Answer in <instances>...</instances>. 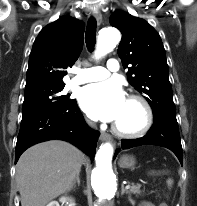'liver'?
Instances as JSON below:
<instances>
[{
	"label": "liver",
	"instance_id": "1",
	"mask_svg": "<svg viewBox=\"0 0 197 206\" xmlns=\"http://www.w3.org/2000/svg\"><path fill=\"white\" fill-rule=\"evenodd\" d=\"M84 161V154L64 141L51 140L27 149L16 166L21 206H45L70 191Z\"/></svg>",
	"mask_w": 197,
	"mask_h": 206
}]
</instances>
